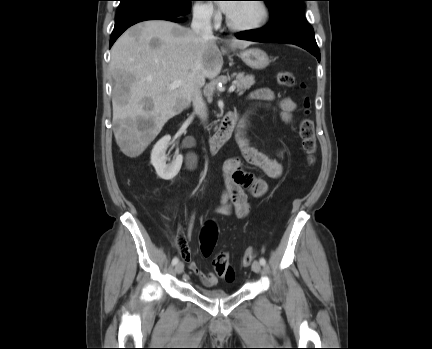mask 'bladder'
Returning a JSON list of instances; mask_svg holds the SVG:
<instances>
[{
  "label": "bladder",
  "mask_w": 432,
  "mask_h": 349,
  "mask_svg": "<svg viewBox=\"0 0 432 349\" xmlns=\"http://www.w3.org/2000/svg\"><path fill=\"white\" fill-rule=\"evenodd\" d=\"M200 293L210 299H221L228 296V293L223 289H209L200 287Z\"/></svg>",
  "instance_id": "bladder-1"
}]
</instances>
